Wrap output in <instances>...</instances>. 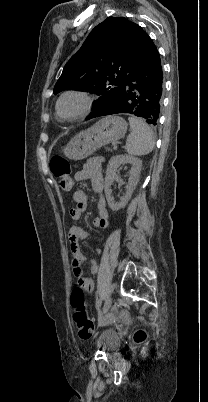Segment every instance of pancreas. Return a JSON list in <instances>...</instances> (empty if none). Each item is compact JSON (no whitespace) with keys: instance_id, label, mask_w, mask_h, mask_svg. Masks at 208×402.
I'll return each mask as SVG.
<instances>
[{"instance_id":"obj_1","label":"pancreas","mask_w":208,"mask_h":402,"mask_svg":"<svg viewBox=\"0 0 208 402\" xmlns=\"http://www.w3.org/2000/svg\"><path fill=\"white\" fill-rule=\"evenodd\" d=\"M106 150H108V152H111V148H106Z\"/></svg>"}]
</instances>
